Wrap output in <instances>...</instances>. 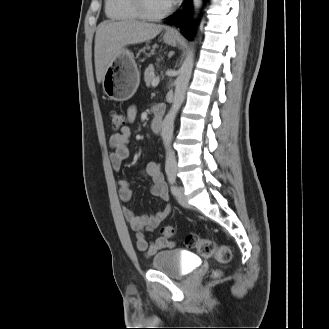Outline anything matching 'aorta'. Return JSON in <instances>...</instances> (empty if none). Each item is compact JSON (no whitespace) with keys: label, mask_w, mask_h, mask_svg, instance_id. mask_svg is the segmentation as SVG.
Returning <instances> with one entry per match:
<instances>
[{"label":"aorta","mask_w":329,"mask_h":329,"mask_svg":"<svg viewBox=\"0 0 329 329\" xmlns=\"http://www.w3.org/2000/svg\"><path fill=\"white\" fill-rule=\"evenodd\" d=\"M202 0H193L194 17L197 16L199 9L201 8ZM194 63L193 51H189L179 72V75L175 81V93L172 106L165 116L161 125V137L164 147L166 149V172H174L177 168V162L175 153L171 149V143L173 139L174 121L176 115L184 101L185 92L191 77L192 68Z\"/></svg>","instance_id":"762f6f07"}]
</instances>
